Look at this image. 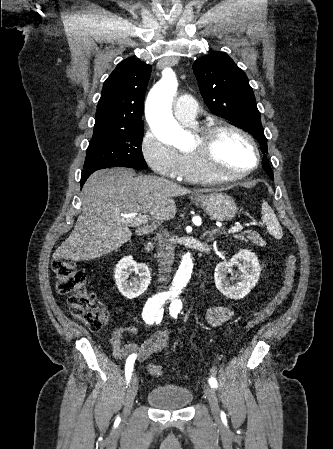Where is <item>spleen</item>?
<instances>
[{
    "mask_svg": "<svg viewBox=\"0 0 333 449\" xmlns=\"http://www.w3.org/2000/svg\"><path fill=\"white\" fill-rule=\"evenodd\" d=\"M261 208V219L266 224L268 232L276 239H281L283 236V232L274 211L266 201L262 202Z\"/></svg>",
    "mask_w": 333,
    "mask_h": 449,
    "instance_id": "3e777b00",
    "label": "spleen"
}]
</instances>
